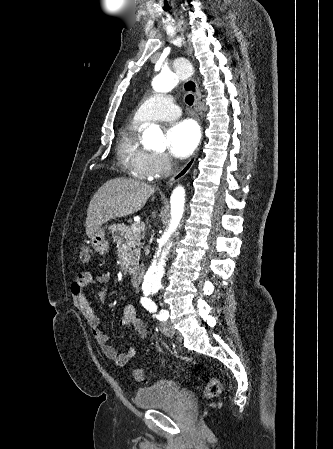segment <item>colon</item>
<instances>
[{"label":"colon","instance_id":"obj_1","mask_svg":"<svg viewBox=\"0 0 333 449\" xmlns=\"http://www.w3.org/2000/svg\"><path fill=\"white\" fill-rule=\"evenodd\" d=\"M91 258L90 249L84 246L79 251V259L82 264H88ZM133 377L137 381L145 380V373L143 369H136L133 372ZM221 391V384L218 379L212 377L209 379L207 385L205 386L204 394L207 399L215 398L219 395Z\"/></svg>","mask_w":333,"mask_h":449}]
</instances>
